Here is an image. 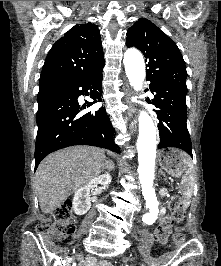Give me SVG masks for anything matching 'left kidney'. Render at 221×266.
Wrapping results in <instances>:
<instances>
[{
    "label": "left kidney",
    "instance_id": "5707ae66",
    "mask_svg": "<svg viewBox=\"0 0 221 266\" xmlns=\"http://www.w3.org/2000/svg\"><path fill=\"white\" fill-rule=\"evenodd\" d=\"M163 212L165 213L166 212V209H163Z\"/></svg>",
    "mask_w": 221,
    "mask_h": 266
}]
</instances>
